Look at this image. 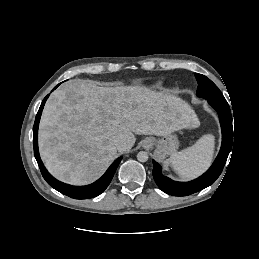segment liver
I'll return each mask as SVG.
<instances>
[{
    "mask_svg": "<svg viewBox=\"0 0 259 259\" xmlns=\"http://www.w3.org/2000/svg\"><path fill=\"white\" fill-rule=\"evenodd\" d=\"M199 125L182 99L141 86L104 87L74 79L54 91L44 107L39 150L60 181L85 185L99 177L117 152L129 151L137 135L166 136ZM124 141L121 148L114 140Z\"/></svg>",
    "mask_w": 259,
    "mask_h": 259,
    "instance_id": "6515ba94",
    "label": "liver"
}]
</instances>
